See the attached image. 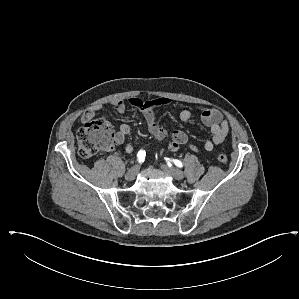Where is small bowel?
I'll list each match as a JSON object with an SVG mask.
<instances>
[{
	"label": "small bowel",
	"mask_w": 299,
	"mask_h": 299,
	"mask_svg": "<svg viewBox=\"0 0 299 299\" xmlns=\"http://www.w3.org/2000/svg\"><path fill=\"white\" fill-rule=\"evenodd\" d=\"M169 103L170 100L167 98L142 100L137 97H132L129 99V104L142 112L151 135L160 140L167 137L168 131L157 122L155 111L157 108ZM111 106L118 113H124L126 111V105L122 101H115ZM101 109L102 105L92 106L82 115V121L87 122L93 119ZM179 117L181 121L188 122L192 119V111L190 109H183L180 112ZM201 121L210 129L212 134L211 138L205 141L204 148L206 151H212L214 145L221 144L226 139L229 133V123L224 118L223 114L214 108L205 109L202 112ZM130 132L131 127L128 124H121L118 129L116 142L118 144H122ZM187 143V134L181 130H176L171 134V139L168 143V149L174 152ZM190 148L195 151L197 150L196 146L194 145H190ZM124 151L130 154L134 151V146L131 143H126L124 145Z\"/></svg>",
	"instance_id": "c3829d8e"
}]
</instances>
